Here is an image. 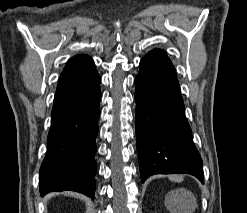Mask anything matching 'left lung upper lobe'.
<instances>
[{"label": "left lung upper lobe", "mask_w": 247, "mask_h": 213, "mask_svg": "<svg viewBox=\"0 0 247 213\" xmlns=\"http://www.w3.org/2000/svg\"><path fill=\"white\" fill-rule=\"evenodd\" d=\"M159 51H162V50H160V49H154V50H152V51H150V52H159ZM149 52V53H150Z\"/></svg>", "instance_id": "5c2ea615"}]
</instances>
